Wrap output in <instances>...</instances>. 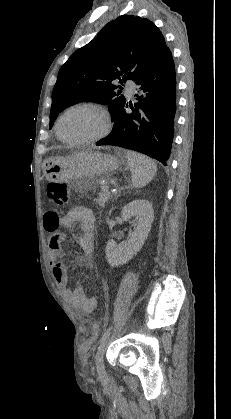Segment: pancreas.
<instances>
[{"mask_svg":"<svg viewBox=\"0 0 231 419\" xmlns=\"http://www.w3.org/2000/svg\"><path fill=\"white\" fill-rule=\"evenodd\" d=\"M106 187H108V186L105 185V186H102L101 187L102 192L99 193V197L97 199V203L101 207H104L105 206V203L111 198V194H110L109 190L106 189Z\"/></svg>","mask_w":231,"mask_h":419,"instance_id":"cf45deb5","label":"pancreas"}]
</instances>
